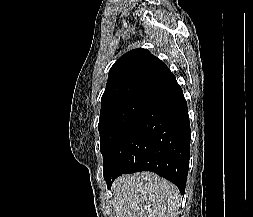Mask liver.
Wrapping results in <instances>:
<instances>
[{"label":"liver","mask_w":253,"mask_h":217,"mask_svg":"<svg viewBox=\"0 0 253 217\" xmlns=\"http://www.w3.org/2000/svg\"><path fill=\"white\" fill-rule=\"evenodd\" d=\"M112 193L115 217H176L181 201L178 188L152 172L120 176Z\"/></svg>","instance_id":"obj_1"}]
</instances>
